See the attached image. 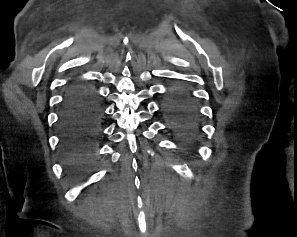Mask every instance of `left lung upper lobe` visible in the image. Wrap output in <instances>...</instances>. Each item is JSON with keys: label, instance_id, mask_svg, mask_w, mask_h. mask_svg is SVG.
Wrapping results in <instances>:
<instances>
[{"label": "left lung upper lobe", "instance_id": "5c2ea615", "mask_svg": "<svg viewBox=\"0 0 297 237\" xmlns=\"http://www.w3.org/2000/svg\"><path fill=\"white\" fill-rule=\"evenodd\" d=\"M181 100H191V96L188 95L185 90H177L175 96L172 98V102L181 101Z\"/></svg>", "mask_w": 297, "mask_h": 237}]
</instances>
